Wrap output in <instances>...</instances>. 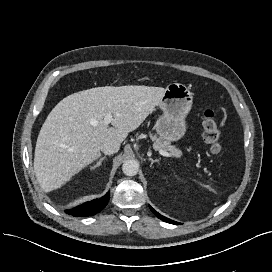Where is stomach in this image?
<instances>
[{"label":"stomach","instance_id":"stomach-1","mask_svg":"<svg viewBox=\"0 0 272 272\" xmlns=\"http://www.w3.org/2000/svg\"><path fill=\"white\" fill-rule=\"evenodd\" d=\"M193 96L187 86L171 83L158 103L162 110L154 125L161 139L168 142L181 139L187 129L185 118L192 107Z\"/></svg>","mask_w":272,"mask_h":272}]
</instances>
